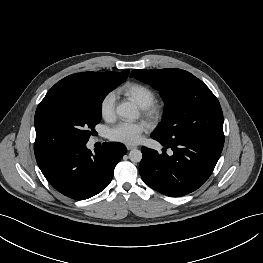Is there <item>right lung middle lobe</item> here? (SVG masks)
Masks as SVG:
<instances>
[{
    "instance_id": "1",
    "label": "right lung middle lobe",
    "mask_w": 263,
    "mask_h": 263,
    "mask_svg": "<svg viewBox=\"0 0 263 263\" xmlns=\"http://www.w3.org/2000/svg\"><path fill=\"white\" fill-rule=\"evenodd\" d=\"M125 80L126 77H105L74 92L45 96L34 119L36 159L87 142L101 120L103 99Z\"/></svg>"
}]
</instances>
